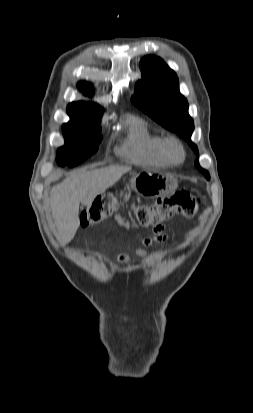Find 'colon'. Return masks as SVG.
<instances>
[{
	"label": "colon",
	"mask_w": 253,
	"mask_h": 413,
	"mask_svg": "<svg viewBox=\"0 0 253 413\" xmlns=\"http://www.w3.org/2000/svg\"><path fill=\"white\" fill-rule=\"evenodd\" d=\"M199 204V197L193 196L185 190H179L171 195L159 197L152 204H134L132 212L140 226L155 227L156 229L175 215L186 218L193 217ZM119 209L120 203L113 194L103 195L82 212L81 224L84 227L98 224L111 217Z\"/></svg>",
	"instance_id": "colon-1"
}]
</instances>
